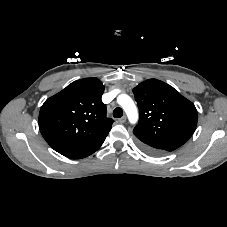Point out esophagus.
I'll return each mask as SVG.
<instances>
[{
	"label": "esophagus",
	"instance_id": "obj_1",
	"mask_svg": "<svg viewBox=\"0 0 227 227\" xmlns=\"http://www.w3.org/2000/svg\"><path fill=\"white\" fill-rule=\"evenodd\" d=\"M118 122L121 123V124L125 123L126 122V116H123L120 119H118Z\"/></svg>",
	"mask_w": 227,
	"mask_h": 227
}]
</instances>
